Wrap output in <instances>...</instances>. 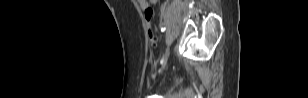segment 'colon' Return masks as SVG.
Listing matches in <instances>:
<instances>
[{"label": "colon", "instance_id": "1", "mask_svg": "<svg viewBox=\"0 0 308 98\" xmlns=\"http://www.w3.org/2000/svg\"><path fill=\"white\" fill-rule=\"evenodd\" d=\"M144 17L146 22L147 34L149 41L152 46L156 45L157 37L154 33L153 26H152V19H153V10L152 8H147L144 10Z\"/></svg>", "mask_w": 308, "mask_h": 98}]
</instances>
